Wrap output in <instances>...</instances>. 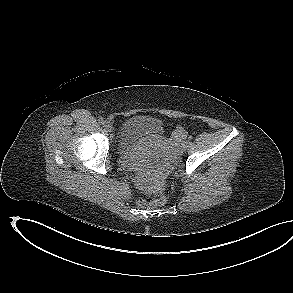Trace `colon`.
I'll use <instances>...</instances> for the list:
<instances>
[{
	"mask_svg": "<svg viewBox=\"0 0 293 293\" xmlns=\"http://www.w3.org/2000/svg\"><path fill=\"white\" fill-rule=\"evenodd\" d=\"M177 136H180L182 134V129L178 128L175 132ZM166 203V197L163 193H160L157 198L146 201V200H139L138 204L142 208H152V207H160L163 206Z\"/></svg>",
	"mask_w": 293,
	"mask_h": 293,
	"instance_id": "5ec220e1",
	"label": "colon"
}]
</instances>
